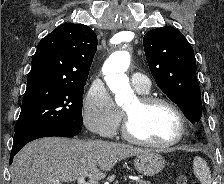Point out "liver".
<instances>
[{"instance_id": "obj_1", "label": "liver", "mask_w": 224, "mask_h": 184, "mask_svg": "<svg viewBox=\"0 0 224 184\" xmlns=\"http://www.w3.org/2000/svg\"><path fill=\"white\" fill-rule=\"evenodd\" d=\"M147 151L102 140L46 137L28 143L14 157L11 184H62L80 176L98 181L117 162Z\"/></svg>"}]
</instances>
